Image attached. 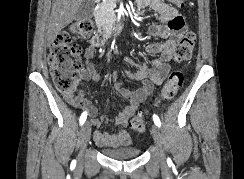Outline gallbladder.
I'll return each instance as SVG.
<instances>
[{
    "instance_id": "bac80fb5",
    "label": "gallbladder",
    "mask_w": 244,
    "mask_h": 179,
    "mask_svg": "<svg viewBox=\"0 0 244 179\" xmlns=\"http://www.w3.org/2000/svg\"><path fill=\"white\" fill-rule=\"evenodd\" d=\"M95 0H82L78 12L75 14V20H89L93 16Z\"/></svg>"
}]
</instances>
